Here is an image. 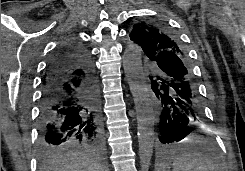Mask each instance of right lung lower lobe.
Listing matches in <instances>:
<instances>
[{
	"label": "right lung lower lobe",
	"mask_w": 245,
	"mask_h": 171,
	"mask_svg": "<svg viewBox=\"0 0 245 171\" xmlns=\"http://www.w3.org/2000/svg\"><path fill=\"white\" fill-rule=\"evenodd\" d=\"M75 70L79 72L74 73ZM43 84L40 142L46 147L64 142L99 146L102 142L99 91L87 49L79 42L63 45L50 59Z\"/></svg>",
	"instance_id": "1"
}]
</instances>
